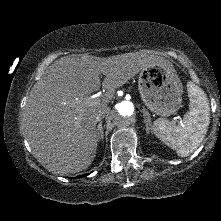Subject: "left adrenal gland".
Wrapping results in <instances>:
<instances>
[{
	"instance_id": "obj_1",
	"label": "left adrenal gland",
	"mask_w": 221,
	"mask_h": 221,
	"mask_svg": "<svg viewBox=\"0 0 221 221\" xmlns=\"http://www.w3.org/2000/svg\"><path fill=\"white\" fill-rule=\"evenodd\" d=\"M142 111H143L144 123L146 126V132L149 133L150 130L152 131L151 116L145 108H143Z\"/></svg>"
}]
</instances>
